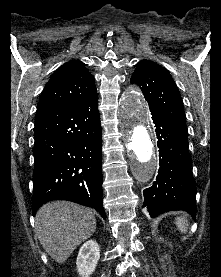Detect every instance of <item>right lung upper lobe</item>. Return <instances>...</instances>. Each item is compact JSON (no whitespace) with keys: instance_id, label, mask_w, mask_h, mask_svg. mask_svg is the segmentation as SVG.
Returning a JSON list of instances; mask_svg holds the SVG:
<instances>
[{"instance_id":"1","label":"right lung upper lobe","mask_w":221,"mask_h":277,"mask_svg":"<svg viewBox=\"0 0 221 277\" xmlns=\"http://www.w3.org/2000/svg\"><path fill=\"white\" fill-rule=\"evenodd\" d=\"M96 94L94 77L84 63L73 60L59 67L51 76L41 94L38 110L75 105Z\"/></svg>"}]
</instances>
